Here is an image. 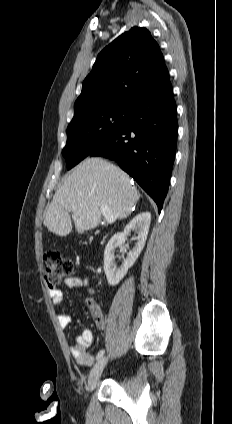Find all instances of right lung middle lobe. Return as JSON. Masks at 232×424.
<instances>
[{
  "mask_svg": "<svg viewBox=\"0 0 232 424\" xmlns=\"http://www.w3.org/2000/svg\"><path fill=\"white\" fill-rule=\"evenodd\" d=\"M130 110L131 106L126 105H100L75 115L67 128V144L62 150L67 169L78 164L123 127Z\"/></svg>",
  "mask_w": 232,
  "mask_h": 424,
  "instance_id": "obj_1",
  "label": "right lung middle lobe"
}]
</instances>
